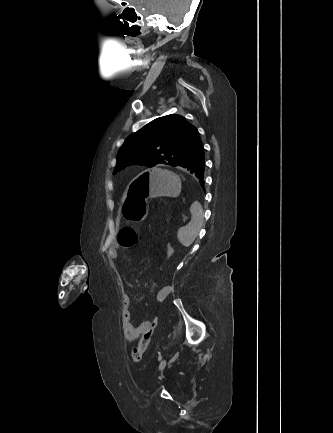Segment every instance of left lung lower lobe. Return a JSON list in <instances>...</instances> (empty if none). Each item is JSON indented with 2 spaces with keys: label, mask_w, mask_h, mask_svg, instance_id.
<instances>
[{
  "label": "left lung lower lobe",
  "mask_w": 333,
  "mask_h": 433,
  "mask_svg": "<svg viewBox=\"0 0 333 433\" xmlns=\"http://www.w3.org/2000/svg\"><path fill=\"white\" fill-rule=\"evenodd\" d=\"M178 166L197 177L200 180V184L204 186L205 159L203 144H201L196 151L184 159Z\"/></svg>",
  "instance_id": "0a47b994"
}]
</instances>
